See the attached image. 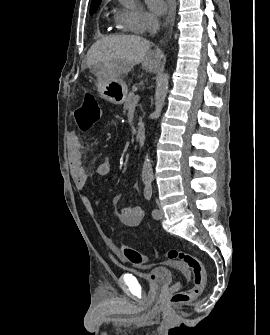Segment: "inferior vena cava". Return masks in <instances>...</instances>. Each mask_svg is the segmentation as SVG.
I'll return each mask as SVG.
<instances>
[{
  "instance_id": "1",
  "label": "inferior vena cava",
  "mask_w": 270,
  "mask_h": 335,
  "mask_svg": "<svg viewBox=\"0 0 270 335\" xmlns=\"http://www.w3.org/2000/svg\"><path fill=\"white\" fill-rule=\"evenodd\" d=\"M157 30H159V26L158 24H154V26L150 28V34H157Z\"/></svg>"
}]
</instances>
